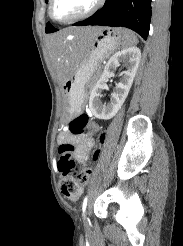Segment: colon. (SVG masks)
<instances>
[{
    "mask_svg": "<svg viewBox=\"0 0 183 246\" xmlns=\"http://www.w3.org/2000/svg\"><path fill=\"white\" fill-rule=\"evenodd\" d=\"M90 118L80 114L72 119L69 124L70 131L75 135L84 134L90 126ZM73 147L70 144H61L59 147L58 168L61 174V191L65 198L76 201L80 198L83 187L88 183L91 175L90 168L80 169L70 156ZM99 150L93 154L97 160Z\"/></svg>",
    "mask_w": 183,
    "mask_h": 246,
    "instance_id": "obj_1",
    "label": "colon"
}]
</instances>
